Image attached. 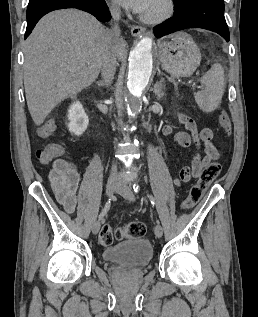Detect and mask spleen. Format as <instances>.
<instances>
[{
    "mask_svg": "<svg viewBox=\"0 0 258 317\" xmlns=\"http://www.w3.org/2000/svg\"><path fill=\"white\" fill-rule=\"evenodd\" d=\"M201 82L204 88L195 94V100L204 112H212L218 108L225 90L224 70L221 64H213L202 76Z\"/></svg>",
    "mask_w": 258,
    "mask_h": 317,
    "instance_id": "obj_1",
    "label": "spleen"
}]
</instances>
